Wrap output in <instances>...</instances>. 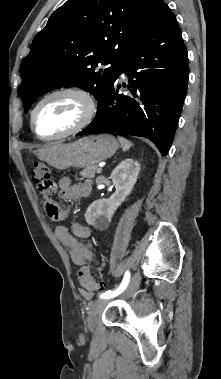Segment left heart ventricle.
<instances>
[{"instance_id": "b2bd125f", "label": "left heart ventricle", "mask_w": 221, "mask_h": 379, "mask_svg": "<svg viewBox=\"0 0 221 379\" xmlns=\"http://www.w3.org/2000/svg\"><path fill=\"white\" fill-rule=\"evenodd\" d=\"M84 111L82 101L71 95L50 98L35 116V129L41 136H52L74 126Z\"/></svg>"}]
</instances>
